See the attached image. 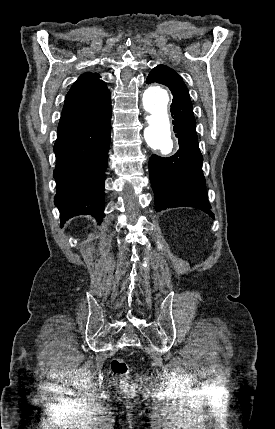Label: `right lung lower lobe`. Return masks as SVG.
Masks as SVG:
<instances>
[{
    "label": "right lung lower lobe",
    "instance_id": "1",
    "mask_svg": "<svg viewBox=\"0 0 275 429\" xmlns=\"http://www.w3.org/2000/svg\"><path fill=\"white\" fill-rule=\"evenodd\" d=\"M110 132L111 110L95 120L58 129L54 177L55 205L60 211L61 225L80 214L102 220Z\"/></svg>",
    "mask_w": 275,
    "mask_h": 429
}]
</instances>
